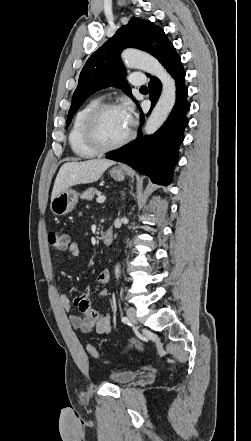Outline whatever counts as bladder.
Masks as SVG:
<instances>
[{
    "label": "bladder",
    "mask_w": 251,
    "mask_h": 441,
    "mask_svg": "<svg viewBox=\"0 0 251 441\" xmlns=\"http://www.w3.org/2000/svg\"><path fill=\"white\" fill-rule=\"evenodd\" d=\"M138 374L132 370L114 371L109 374V380L117 385H126L135 380Z\"/></svg>",
    "instance_id": "1"
}]
</instances>
